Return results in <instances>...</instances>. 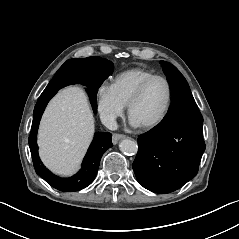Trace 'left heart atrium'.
<instances>
[{
    "label": "left heart atrium",
    "instance_id": "left-heart-atrium-1",
    "mask_svg": "<svg viewBox=\"0 0 239 239\" xmlns=\"http://www.w3.org/2000/svg\"><path fill=\"white\" fill-rule=\"evenodd\" d=\"M131 124H132L134 127H138V126H139V123H138L133 117H131Z\"/></svg>",
    "mask_w": 239,
    "mask_h": 239
}]
</instances>
